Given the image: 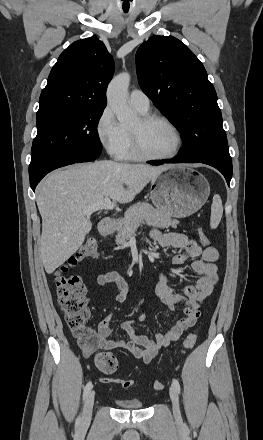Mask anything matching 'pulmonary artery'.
Returning a JSON list of instances; mask_svg holds the SVG:
<instances>
[{"mask_svg": "<svg viewBox=\"0 0 263 440\" xmlns=\"http://www.w3.org/2000/svg\"><path fill=\"white\" fill-rule=\"evenodd\" d=\"M129 103L139 112H147L150 106L149 98L139 89H134L130 92Z\"/></svg>", "mask_w": 263, "mask_h": 440, "instance_id": "1", "label": "pulmonary artery"}]
</instances>
